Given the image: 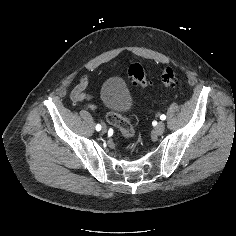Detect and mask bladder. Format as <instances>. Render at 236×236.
Segmentation results:
<instances>
[{"instance_id":"bladder-1","label":"bladder","mask_w":236,"mask_h":236,"mask_svg":"<svg viewBox=\"0 0 236 236\" xmlns=\"http://www.w3.org/2000/svg\"><path fill=\"white\" fill-rule=\"evenodd\" d=\"M100 97L105 108L118 113H125L132 106V97L118 77L109 78L102 84Z\"/></svg>"}]
</instances>
